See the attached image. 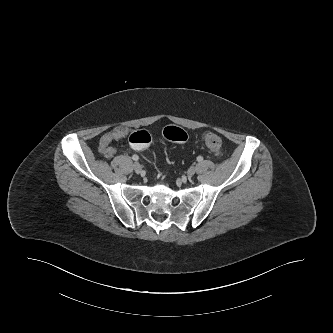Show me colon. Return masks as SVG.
Returning a JSON list of instances; mask_svg holds the SVG:
<instances>
[{
  "mask_svg": "<svg viewBox=\"0 0 333 333\" xmlns=\"http://www.w3.org/2000/svg\"><path fill=\"white\" fill-rule=\"evenodd\" d=\"M164 136L166 139L183 143L188 139L187 133L180 127L168 126L164 129ZM206 146L216 155L221 154L223 144L221 138L211 132H207L203 135ZM152 142L150 133L146 130H137L133 132V135L129 138V147L134 152H139L145 147L149 146Z\"/></svg>",
  "mask_w": 333,
  "mask_h": 333,
  "instance_id": "5ec220e1",
  "label": "colon"
}]
</instances>
